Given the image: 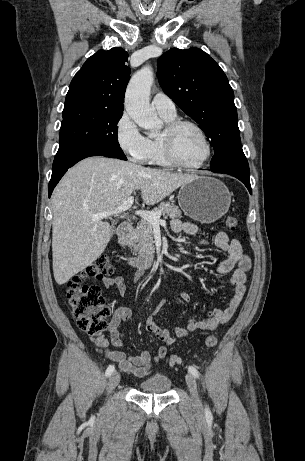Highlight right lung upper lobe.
Here are the masks:
<instances>
[{"mask_svg": "<svg viewBox=\"0 0 305 461\" xmlns=\"http://www.w3.org/2000/svg\"><path fill=\"white\" fill-rule=\"evenodd\" d=\"M127 61V52L119 47L89 57L71 81L64 108L91 106L123 112L131 73Z\"/></svg>", "mask_w": 305, "mask_h": 461, "instance_id": "obj_1", "label": "right lung upper lobe"}]
</instances>
